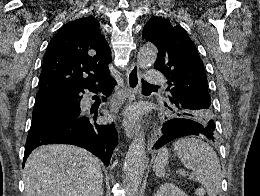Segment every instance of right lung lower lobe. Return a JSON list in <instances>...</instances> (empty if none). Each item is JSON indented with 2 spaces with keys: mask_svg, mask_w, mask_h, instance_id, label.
Segmentation results:
<instances>
[{
  "mask_svg": "<svg viewBox=\"0 0 260 196\" xmlns=\"http://www.w3.org/2000/svg\"><path fill=\"white\" fill-rule=\"evenodd\" d=\"M115 81L110 78L107 82L99 84L106 96L113 90ZM92 92L98 91V86L89 88ZM81 91L78 94L67 96L48 104L46 107L52 110L71 113L74 118L50 123L29 131L24 160L36 147L45 144L63 143L72 144L87 149L99 157L106 166L110 163L112 152L117 144V132L113 124H101L97 117L102 115L96 111L94 115L80 114ZM106 101V98H103Z\"/></svg>",
  "mask_w": 260,
  "mask_h": 196,
  "instance_id": "1",
  "label": "right lung lower lobe"
}]
</instances>
